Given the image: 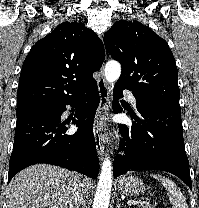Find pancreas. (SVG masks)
I'll return each instance as SVG.
<instances>
[{
    "instance_id": "cf45deb5",
    "label": "pancreas",
    "mask_w": 199,
    "mask_h": 208,
    "mask_svg": "<svg viewBox=\"0 0 199 208\" xmlns=\"http://www.w3.org/2000/svg\"><path fill=\"white\" fill-rule=\"evenodd\" d=\"M142 208H154L153 206H151V205H148V204H142Z\"/></svg>"
}]
</instances>
